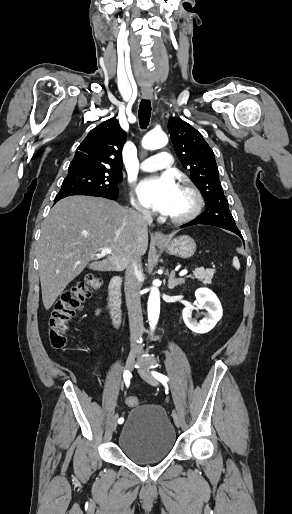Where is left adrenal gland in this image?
Wrapping results in <instances>:
<instances>
[{
	"instance_id": "left-adrenal-gland-1",
	"label": "left adrenal gland",
	"mask_w": 292,
	"mask_h": 514,
	"mask_svg": "<svg viewBox=\"0 0 292 514\" xmlns=\"http://www.w3.org/2000/svg\"><path fill=\"white\" fill-rule=\"evenodd\" d=\"M180 284H185L183 278H175V272L174 270H172L168 280V288H170V290H173L175 286H180Z\"/></svg>"
}]
</instances>
